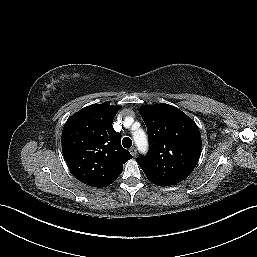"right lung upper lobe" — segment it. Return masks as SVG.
Segmentation results:
<instances>
[{
  "label": "right lung upper lobe",
  "instance_id": "right-lung-upper-lobe-1",
  "mask_svg": "<svg viewBox=\"0 0 257 257\" xmlns=\"http://www.w3.org/2000/svg\"><path fill=\"white\" fill-rule=\"evenodd\" d=\"M119 106H87L72 115L62 131V152L71 173L93 187L113 183L132 158L121 146V134L112 127Z\"/></svg>",
  "mask_w": 257,
  "mask_h": 257
}]
</instances>
